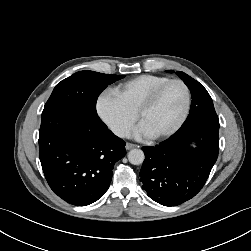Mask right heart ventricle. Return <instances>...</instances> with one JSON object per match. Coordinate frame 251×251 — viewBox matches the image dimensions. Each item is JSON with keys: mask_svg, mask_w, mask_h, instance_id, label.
<instances>
[{"mask_svg": "<svg viewBox=\"0 0 251 251\" xmlns=\"http://www.w3.org/2000/svg\"><path fill=\"white\" fill-rule=\"evenodd\" d=\"M169 79L159 75H140L119 84L115 92L127 108L136 114L137 109L150 93Z\"/></svg>", "mask_w": 251, "mask_h": 251, "instance_id": "e07e8e85", "label": "right heart ventricle"}]
</instances>
